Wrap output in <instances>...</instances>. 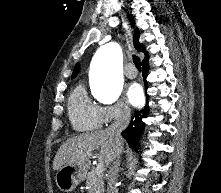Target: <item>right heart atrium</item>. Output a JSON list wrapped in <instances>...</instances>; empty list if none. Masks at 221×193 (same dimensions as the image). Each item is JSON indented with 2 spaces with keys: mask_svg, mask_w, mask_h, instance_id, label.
I'll return each mask as SVG.
<instances>
[{
  "mask_svg": "<svg viewBox=\"0 0 221 193\" xmlns=\"http://www.w3.org/2000/svg\"><path fill=\"white\" fill-rule=\"evenodd\" d=\"M131 111L127 105L122 102H116L111 105L101 107L102 123L109 125L113 122L123 121L130 118Z\"/></svg>",
  "mask_w": 221,
  "mask_h": 193,
  "instance_id": "right-heart-atrium-1",
  "label": "right heart atrium"
}]
</instances>
